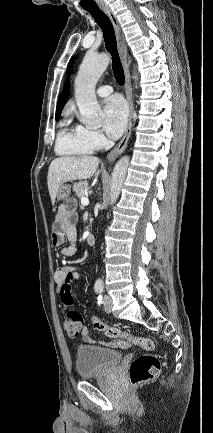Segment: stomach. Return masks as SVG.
I'll use <instances>...</instances> for the list:
<instances>
[{
  "mask_svg": "<svg viewBox=\"0 0 213 433\" xmlns=\"http://www.w3.org/2000/svg\"><path fill=\"white\" fill-rule=\"evenodd\" d=\"M70 195V186L69 185H61L57 192L58 200H66Z\"/></svg>",
  "mask_w": 213,
  "mask_h": 433,
  "instance_id": "obj_1",
  "label": "stomach"
}]
</instances>
